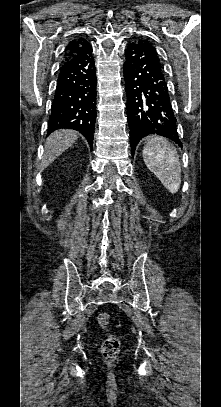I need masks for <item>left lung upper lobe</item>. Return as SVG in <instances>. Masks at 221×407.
Wrapping results in <instances>:
<instances>
[{"instance_id": "obj_1", "label": "left lung upper lobe", "mask_w": 221, "mask_h": 407, "mask_svg": "<svg viewBox=\"0 0 221 407\" xmlns=\"http://www.w3.org/2000/svg\"><path fill=\"white\" fill-rule=\"evenodd\" d=\"M144 41V40H143ZM154 50H155V48H154ZM156 51V50H155ZM156 55L158 56V54H157V52H156Z\"/></svg>"}]
</instances>
